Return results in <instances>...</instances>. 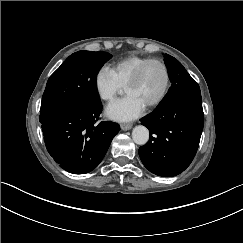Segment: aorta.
Returning <instances> with one entry per match:
<instances>
[{
    "instance_id": "aorta-1",
    "label": "aorta",
    "mask_w": 243,
    "mask_h": 243,
    "mask_svg": "<svg viewBox=\"0 0 243 243\" xmlns=\"http://www.w3.org/2000/svg\"><path fill=\"white\" fill-rule=\"evenodd\" d=\"M132 139L138 145H144L149 140V130L143 126L138 125L132 130Z\"/></svg>"
}]
</instances>
